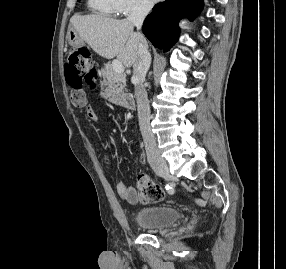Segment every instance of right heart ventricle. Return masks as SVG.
Wrapping results in <instances>:
<instances>
[{
	"label": "right heart ventricle",
	"instance_id": "e07e8e85",
	"mask_svg": "<svg viewBox=\"0 0 286 269\" xmlns=\"http://www.w3.org/2000/svg\"><path fill=\"white\" fill-rule=\"evenodd\" d=\"M88 9L101 16L114 17L117 14L115 0H87Z\"/></svg>",
	"mask_w": 286,
	"mask_h": 269
}]
</instances>
